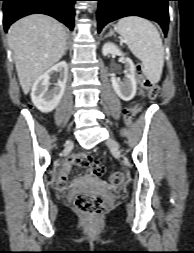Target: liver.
Here are the masks:
<instances>
[{"label": "liver", "instance_id": "6515ba94", "mask_svg": "<svg viewBox=\"0 0 194 253\" xmlns=\"http://www.w3.org/2000/svg\"><path fill=\"white\" fill-rule=\"evenodd\" d=\"M20 85L24 94L65 53L66 28L56 19L33 14L15 22L8 31Z\"/></svg>", "mask_w": 194, "mask_h": 253}]
</instances>
